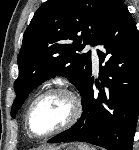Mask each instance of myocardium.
Returning <instances> with one entry per match:
<instances>
[{"label": "myocardium", "mask_w": 139, "mask_h": 150, "mask_svg": "<svg viewBox=\"0 0 139 150\" xmlns=\"http://www.w3.org/2000/svg\"><path fill=\"white\" fill-rule=\"evenodd\" d=\"M54 93L64 94L70 99L71 104H72V114L69 117V119L60 127L45 134H37L33 131L32 126H31V117H32L34 108L43 97L49 94H54ZM82 110H83V106H82V102L80 98L71 89L64 87V86H55V87L47 88L46 90L39 93L29 105V108L27 110L26 117H25V125H26L27 132L31 137L37 138V139H45L50 136L59 134L63 131L70 129L72 126H74L77 123V121L81 117Z\"/></svg>", "instance_id": "myocardium-1"}]
</instances>
